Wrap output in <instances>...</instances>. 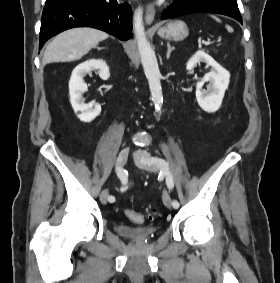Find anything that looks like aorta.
Returning <instances> with one entry per match:
<instances>
[{
  "instance_id": "762f6f07",
  "label": "aorta",
  "mask_w": 280,
  "mask_h": 283,
  "mask_svg": "<svg viewBox=\"0 0 280 283\" xmlns=\"http://www.w3.org/2000/svg\"><path fill=\"white\" fill-rule=\"evenodd\" d=\"M133 28L137 40L142 67L149 83L151 100L155 105L156 111L159 112L163 104V94L160 83L161 74L155 53L146 38L143 25V10L140 7L136 9L134 13Z\"/></svg>"
}]
</instances>
